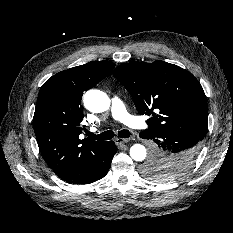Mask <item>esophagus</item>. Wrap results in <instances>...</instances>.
<instances>
[{
  "mask_svg": "<svg viewBox=\"0 0 233 233\" xmlns=\"http://www.w3.org/2000/svg\"><path fill=\"white\" fill-rule=\"evenodd\" d=\"M129 141H130V138H117V139L115 140V143H116L117 145H122V144H124V143L129 142Z\"/></svg>",
  "mask_w": 233,
  "mask_h": 233,
  "instance_id": "obj_1",
  "label": "esophagus"
}]
</instances>
